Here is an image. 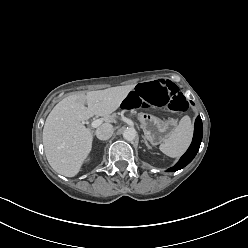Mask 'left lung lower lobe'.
<instances>
[{"mask_svg": "<svg viewBox=\"0 0 248 248\" xmlns=\"http://www.w3.org/2000/svg\"><path fill=\"white\" fill-rule=\"evenodd\" d=\"M191 103L194 104L192 101ZM202 135H203L202 120L201 117L198 116L195 121L194 136L190 147L188 148L186 153L180 158L177 164L174 167L168 169V172L180 170L184 168L186 165H188L194 159L195 155L199 150L202 141Z\"/></svg>", "mask_w": 248, "mask_h": 248, "instance_id": "left-lung-lower-lobe-1", "label": "left lung lower lobe"}]
</instances>
